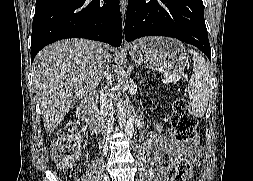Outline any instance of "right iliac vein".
<instances>
[{
	"mask_svg": "<svg viewBox=\"0 0 253 181\" xmlns=\"http://www.w3.org/2000/svg\"><path fill=\"white\" fill-rule=\"evenodd\" d=\"M103 181H110V180H109V177L106 175V176L103 178Z\"/></svg>",
	"mask_w": 253,
	"mask_h": 181,
	"instance_id": "1",
	"label": "right iliac vein"
}]
</instances>
